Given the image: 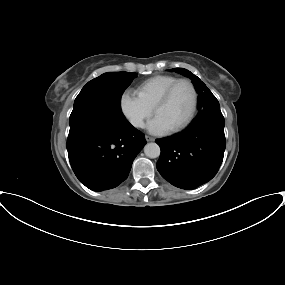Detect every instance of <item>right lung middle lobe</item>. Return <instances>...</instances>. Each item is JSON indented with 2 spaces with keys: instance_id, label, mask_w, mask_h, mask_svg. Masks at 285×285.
Segmentation results:
<instances>
[{
  "instance_id": "1",
  "label": "right lung middle lobe",
  "mask_w": 285,
  "mask_h": 285,
  "mask_svg": "<svg viewBox=\"0 0 285 285\" xmlns=\"http://www.w3.org/2000/svg\"><path fill=\"white\" fill-rule=\"evenodd\" d=\"M136 76L134 72H108L89 81L74 101L69 124L95 114L126 120L120 107L121 96Z\"/></svg>"
}]
</instances>
